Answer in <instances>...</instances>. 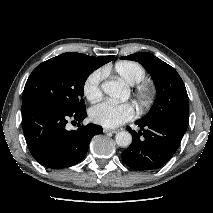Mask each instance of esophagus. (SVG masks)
<instances>
[{"instance_id": "obj_1", "label": "esophagus", "mask_w": 213, "mask_h": 213, "mask_svg": "<svg viewBox=\"0 0 213 213\" xmlns=\"http://www.w3.org/2000/svg\"><path fill=\"white\" fill-rule=\"evenodd\" d=\"M104 133H117L119 130L118 129H108V128H104L103 129Z\"/></svg>"}]
</instances>
